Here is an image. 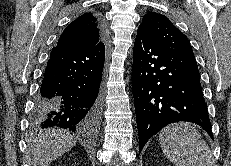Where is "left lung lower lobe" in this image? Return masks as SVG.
I'll return each instance as SVG.
<instances>
[{"label":"left lung lower lobe","instance_id":"obj_1","mask_svg":"<svg viewBox=\"0 0 231 166\" xmlns=\"http://www.w3.org/2000/svg\"><path fill=\"white\" fill-rule=\"evenodd\" d=\"M132 91L139 152L168 124L187 121L211 137V123L193 52L159 44L138 30L133 49Z\"/></svg>","mask_w":231,"mask_h":166}]
</instances>
